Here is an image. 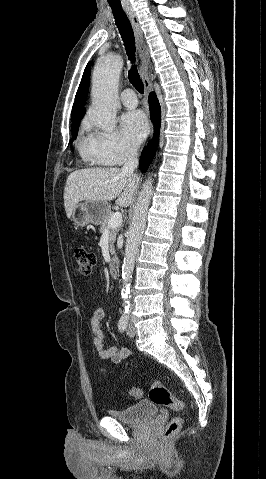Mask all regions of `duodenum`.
<instances>
[{
  "mask_svg": "<svg viewBox=\"0 0 266 479\" xmlns=\"http://www.w3.org/2000/svg\"><path fill=\"white\" fill-rule=\"evenodd\" d=\"M109 272L112 278H119L120 276V263L119 259L113 256L110 260Z\"/></svg>",
  "mask_w": 266,
  "mask_h": 479,
  "instance_id": "410a0bca",
  "label": "duodenum"
}]
</instances>
